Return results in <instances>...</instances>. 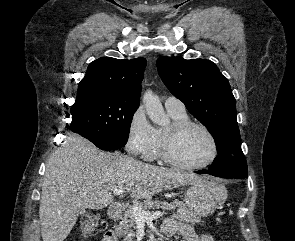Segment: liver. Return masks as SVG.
Here are the masks:
<instances>
[{
    "label": "liver",
    "instance_id": "obj_1",
    "mask_svg": "<svg viewBox=\"0 0 295 241\" xmlns=\"http://www.w3.org/2000/svg\"><path fill=\"white\" fill-rule=\"evenodd\" d=\"M206 177L105 153L79 135L66 136L46 164L39 216L43 241H64L79 209H102L124 186L132 198L149 199L166 189L202 182Z\"/></svg>",
    "mask_w": 295,
    "mask_h": 241
}]
</instances>
